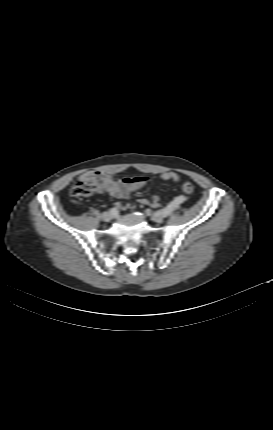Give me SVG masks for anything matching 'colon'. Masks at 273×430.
<instances>
[{
  "label": "colon",
  "instance_id": "1",
  "mask_svg": "<svg viewBox=\"0 0 273 430\" xmlns=\"http://www.w3.org/2000/svg\"><path fill=\"white\" fill-rule=\"evenodd\" d=\"M98 190V177L96 173L86 172L78 177L71 188V193L76 197H87L94 194ZM185 194L190 195L194 191V186L186 182L183 185Z\"/></svg>",
  "mask_w": 273,
  "mask_h": 430
}]
</instances>
